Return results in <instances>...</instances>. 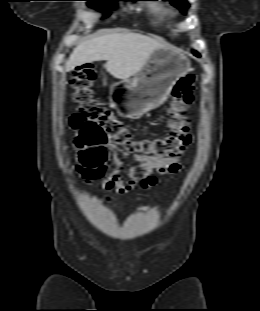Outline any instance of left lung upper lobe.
Masks as SVG:
<instances>
[{
	"mask_svg": "<svg viewBox=\"0 0 260 311\" xmlns=\"http://www.w3.org/2000/svg\"><path fill=\"white\" fill-rule=\"evenodd\" d=\"M170 1L174 6L178 7L184 13L186 9L189 7L188 3L185 0H170ZM194 53L197 52L195 51Z\"/></svg>",
	"mask_w": 260,
	"mask_h": 311,
	"instance_id": "left-lung-upper-lobe-1",
	"label": "left lung upper lobe"
}]
</instances>
